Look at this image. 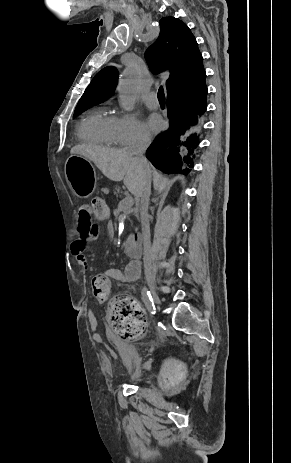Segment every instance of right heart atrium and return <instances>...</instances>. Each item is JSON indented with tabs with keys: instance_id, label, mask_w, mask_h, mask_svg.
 Here are the masks:
<instances>
[{
	"instance_id": "1",
	"label": "right heart atrium",
	"mask_w": 291,
	"mask_h": 463,
	"mask_svg": "<svg viewBox=\"0 0 291 463\" xmlns=\"http://www.w3.org/2000/svg\"><path fill=\"white\" fill-rule=\"evenodd\" d=\"M115 131L119 145L124 147L146 143L150 139L140 120L130 113H122L116 116Z\"/></svg>"
}]
</instances>
